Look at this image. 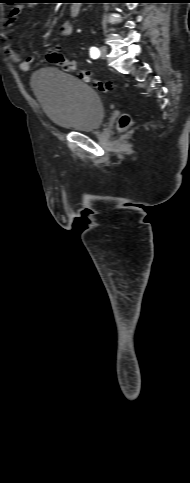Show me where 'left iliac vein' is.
I'll list each match as a JSON object with an SVG mask.
<instances>
[{
	"label": "left iliac vein",
	"mask_w": 190,
	"mask_h": 483,
	"mask_svg": "<svg viewBox=\"0 0 190 483\" xmlns=\"http://www.w3.org/2000/svg\"><path fill=\"white\" fill-rule=\"evenodd\" d=\"M106 56H107V49H106V47L102 46L100 48V57L102 59H106Z\"/></svg>",
	"instance_id": "obj_1"
}]
</instances>
